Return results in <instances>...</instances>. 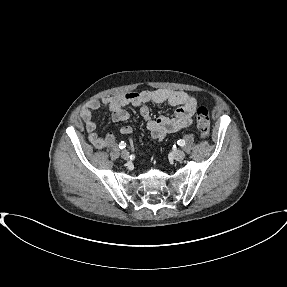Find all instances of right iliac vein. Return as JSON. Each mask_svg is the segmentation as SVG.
I'll return each mask as SVG.
<instances>
[{
	"instance_id": "obj_1",
	"label": "right iliac vein",
	"mask_w": 287,
	"mask_h": 287,
	"mask_svg": "<svg viewBox=\"0 0 287 287\" xmlns=\"http://www.w3.org/2000/svg\"><path fill=\"white\" fill-rule=\"evenodd\" d=\"M121 157L125 160H127L129 158V152L127 150H123L121 152Z\"/></svg>"
}]
</instances>
